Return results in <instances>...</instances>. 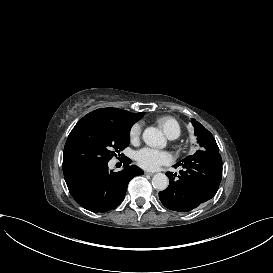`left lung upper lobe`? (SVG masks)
Here are the masks:
<instances>
[{
  "instance_id": "5c2ea615",
  "label": "left lung upper lobe",
  "mask_w": 273,
  "mask_h": 273,
  "mask_svg": "<svg viewBox=\"0 0 273 273\" xmlns=\"http://www.w3.org/2000/svg\"><path fill=\"white\" fill-rule=\"evenodd\" d=\"M194 126V133L197 136V143L200 145L199 150L218 152L217 143L213 135L195 119H191Z\"/></svg>"
}]
</instances>
